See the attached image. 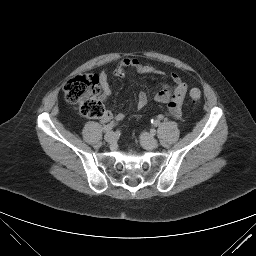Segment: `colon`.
<instances>
[{"label": "colon", "mask_w": 256, "mask_h": 256, "mask_svg": "<svg viewBox=\"0 0 256 256\" xmlns=\"http://www.w3.org/2000/svg\"><path fill=\"white\" fill-rule=\"evenodd\" d=\"M64 97L70 104H77L80 113L88 118H102L106 109L99 100L100 80L94 74L77 75L66 81L63 87ZM193 103H198L201 92L197 88L190 90Z\"/></svg>", "instance_id": "5ec220e1"}]
</instances>
